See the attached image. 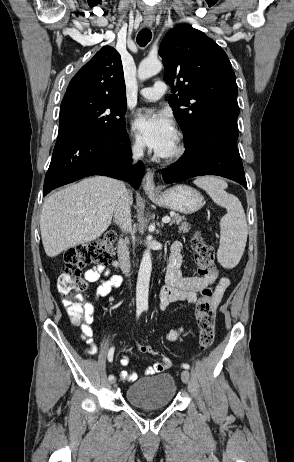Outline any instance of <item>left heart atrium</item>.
Segmentation results:
<instances>
[{"label":"left heart atrium","mask_w":294,"mask_h":462,"mask_svg":"<svg viewBox=\"0 0 294 462\" xmlns=\"http://www.w3.org/2000/svg\"><path fill=\"white\" fill-rule=\"evenodd\" d=\"M133 128L146 145L160 156L166 155L176 141L172 120L166 114L152 109L139 112L133 121Z\"/></svg>","instance_id":"39dd6f15"}]
</instances>
